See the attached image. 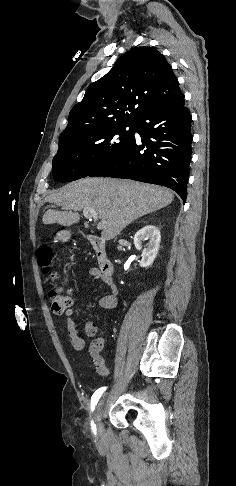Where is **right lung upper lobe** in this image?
I'll return each mask as SVG.
<instances>
[{
  "label": "right lung upper lobe",
  "instance_id": "obj_1",
  "mask_svg": "<svg viewBox=\"0 0 236 486\" xmlns=\"http://www.w3.org/2000/svg\"><path fill=\"white\" fill-rule=\"evenodd\" d=\"M171 65L154 47H135L89 85L69 113L60 143L116 125L133 124L153 105L182 96Z\"/></svg>",
  "mask_w": 236,
  "mask_h": 486
}]
</instances>
